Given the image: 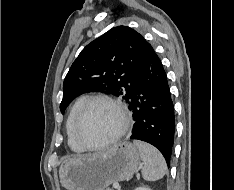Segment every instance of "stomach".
Returning a JSON list of instances; mask_svg holds the SVG:
<instances>
[{"label": "stomach", "mask_w": 234, "mask_h": 190, "mask_svg": "<svg viewBox=\"0 0 234 190\" xmlns=\"http://www.w3.org/2000/svg\"><path fill=\"white\" fill-rule=\"evenodd\" d=\"M139 163L138 148L123 141L98 154L66 159L60 165V182L67 190H106L113 182L129 179Z\"/></svg>", "instance_id": "obj_1"}]
</instances>
